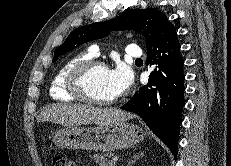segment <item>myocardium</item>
Instances as JSON below:
<instances>
[{
    "instance_id": "myocardium-1",
    "label": "myocardium",
    "mask_w": 231,
    "mask_h": 166,
    "mask_svg": "<svg viewBox=\"0 0 231 166\" xmlns=\"http://www.w3.org/2000/svg\"><path fill=\"white\" fill-rule=\"evenodd\" d=\"M96 68H105L108 69V66L105 62L101 60L91 59L84 61L74 68L71 69L67 76V89L68 91L77 99L84 102L100 105V106H109L115 104L118 99L115 97L109 100L98 99L91 96L86 89V78Z\"/></svg>"
}]
</instances>
